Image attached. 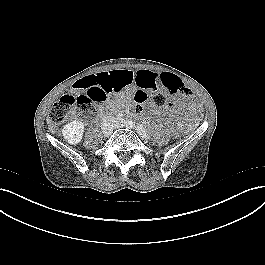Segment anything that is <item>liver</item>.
Instances as JSON below:
<instances>
[{
	"label": "liver",
	"mask_w": 265,
	"mask_h": 265,
	"mask_svg": "<svg viewBox=\"0 0 265 265\" xmlns=\"http://www.w3.org/2000/svg\"><path fill=\"white\" fill-rule=\"evenodd\" d=\"M47 123H48V129L49 131L54 134L55 133V129H54V126L51 124V119L50 118H47Z\"/></svg>",
	"instance_id": "6515ba94"
}]
</instances>
